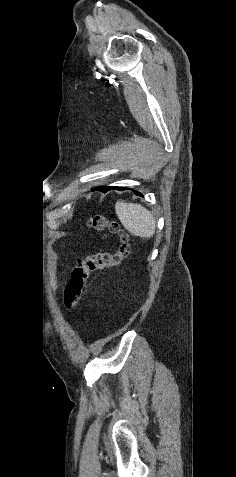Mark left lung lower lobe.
<instances>
[{"label":"left lung lower lobe","mask_w":236,"mask_h":477,"mask_svg":"<svg viewBox=\"0 0 236 477\" xmlns=\"http://www.w3.org/2000/svg\"><path fill=\"white\" fill-rule=\"evenodd\" d=\"M111 189H118V190H120V191H123V190H125L126 188H125V187H112V188H110L109 190H111ZM133 191L135 192L136 195H142L140 192H137V191H135V190H133Z\"/></svg>","instance_id":"obj_1"}]
</instances>
